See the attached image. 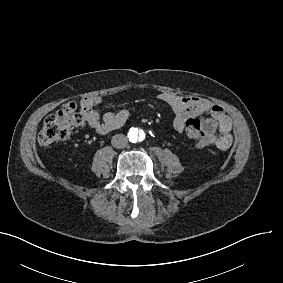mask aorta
<instances>
[{"mask_svg": "<svg viewBox=\"0 0 283 283\" xmlns=\"http://www.w3.org/2000/svg\"><path fill=\"white\" fill-rule=\"evenodd\" d=\"M145 137V132L137 127H132L128 132V138L132 143L142 142Z\"/></svg>", "mask_w": 283, "mask_h": 283, "instance_id": "obj_1", "label": "aorta"}]
</instances>
